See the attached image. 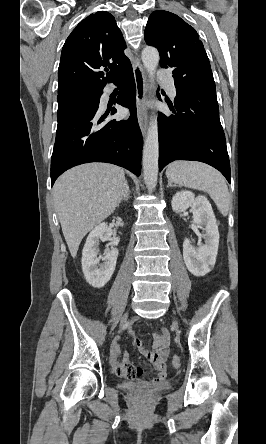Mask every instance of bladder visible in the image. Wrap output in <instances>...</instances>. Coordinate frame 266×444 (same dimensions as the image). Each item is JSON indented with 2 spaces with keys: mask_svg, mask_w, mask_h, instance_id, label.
<instances>
[{
  "mask_svg": "<svg viewBox=\"0 0 266 444\" xmlns=\"http://www.w3.org/2000/svg\"><path fill=\"white\" fill-rule=\"evenodd\" d=\"M124 389L126 392L134 393L136 395H147L151 393L164 392L171 389V384L163 383L160 385H143L134 381H127L124 384Z\"/></svg>",
  "mask_w": 266,
  "mask_h": 444,
  "instance_id": "1",
  "label": "bladder"
}]
</instances>
